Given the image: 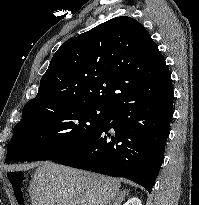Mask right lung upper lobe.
I'll list each match as a JSON object with an SVG mask.
<instances>
[{
  "label": "right lung upper lobe",
  "instance_id": "right-lung-upper-lobe-1",
  "mask_svg": "<svg viewBox=\"0 0 199 205\" xmlns=\"http://www.w3.org/2000/svg\"><path fill=\"white\" fill-rule=\"evenodd\" d=\"M169 73L144 26L121 16L65 41L51 59L37 96L24 107L53 103L110 109Z\"/></svg>",
  "mask_w": 199,
  "mask_h": 205
}]
</instances>
